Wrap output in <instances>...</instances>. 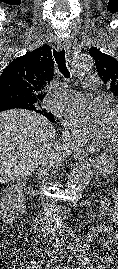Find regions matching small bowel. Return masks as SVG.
Wrapping results in <instances>:
<instances>
[{
	"label": "small bowel",
	"mask_w": 118,
	"mask_h": 269,
	"mask_svg": "<svg viewBox=\"0 0 118 269\" xmlns=\"http://www.w3.org/2000/svg\"><path fill=\"white\" fill-rule=\"evenodd\" d=\"M115 199V204H116V210H117V215L115 217V221L116 223H118V193L115 194L114 196ZM108 235L110 237V239L115 242L116 244H118V230L116 231H109Z\"/></svg>",
	"instance_id": "c3829d8e"
}]
</instances>
